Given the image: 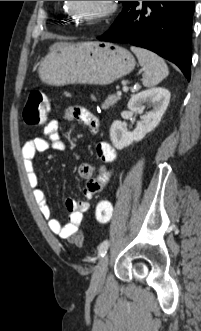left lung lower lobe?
<instances>
[{"label":"left lung lower lobe","mask_w":201,"mask_h":331,"mask_svg":"<svg viewBox=\"0 0 201 331\" xmlns=\"http://www.w3.org/2000/svg\"><path fill=\"white\" fill-rule=\"evenodd\" d=\"M101 41L130 43L175 63L190 80L194 1H124Z\"/></svg>","instance_id":"0a47b994"}]
</instances>
